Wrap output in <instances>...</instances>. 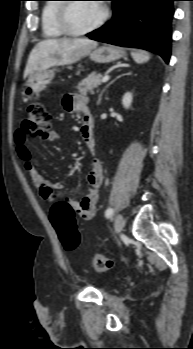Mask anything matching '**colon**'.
Wrapping results in <instances>:
<instances>
[{"label":"colon","instance_id":"colon-1","mask_svg":"<svg viewBox=\"0 0 193 349\" xmlns=\"http://www.w3.org/2000/svg\"><path fill=\"white\" fill-rule=\"evenodd\" d=\"M51 127L52 117L43 104L33 103L27 108L22 130L28 139L48 137ZM75 216V210L68 201L58 200L51 204L50 220L63 247L68 251L76 250L80 243ZM91 265L96 271L105 272L112 268L113 262L101 254H95Z\"/></svg>","mask_w":193,"mask_h":349}]
</instances>
